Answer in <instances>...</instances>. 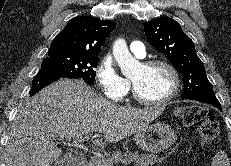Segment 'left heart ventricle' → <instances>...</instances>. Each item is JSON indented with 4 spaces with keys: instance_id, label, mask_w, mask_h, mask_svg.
<instances>
[{
    "instance_id": "left-heart-ventricle-1",
    "label": "left heart ventricle",
    "mask_w": 231,
    "mask_h": 166,
    "mask_svg": "<svg viewBox=\"0 0 231 166\" xmlns=\"http://www.w3.org/2000/svg\"><path fill=\"white\" fill-rule=\"evenodd\" d=\"M131 80L140 96L148 100L162 99L172 88V77L162 66L145 68L139 65L131 75Z\"/></svg>"
}]
</instances>
